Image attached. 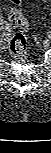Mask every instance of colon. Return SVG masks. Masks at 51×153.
Listing matches in <instances>:
<instances>
[{
  "instance_id": "obj_1",
  "label": "colon",
  "mask_w": 51,
  "mask_h": 153,
  "mask_svg": "<svg viewBox=\"0 0 51 153\" xmlns=\"http://www.w3.org/2000/svg\"><path fill=\"white\" fill-rule=\"evenodd\" d=\"M13 3L9 11V24L15 28L26 29L28 22L22 15L21 0H11ZM9 51L18 61H24L27 57V40L23 34H15L9 42Z\"/></svg>"
}]
</instances>
